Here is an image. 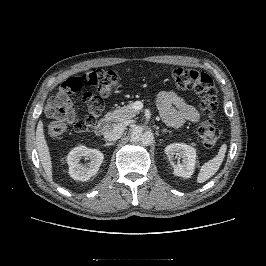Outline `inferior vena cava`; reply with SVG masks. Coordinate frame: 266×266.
I'll use <instances>...</instances> for the list:
<instances>
[{"mask_svg": "<svg viewBox=\"0 0 266 266\" xmlns=\"http://www.w3.org/2000/svg\"><path fill=\"white\" fill-rule=\"evenodd\" d=\"M123 132H124L123 124L121 123L111 124L106 128L104 132V138L107 141H115L122 136Z\"/></svg>", "mask_w": 266, "mask_h": 266, "instance_id": "602c4592", "label": "inferior vena cava"}]
</instances>
